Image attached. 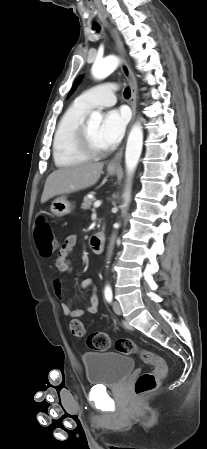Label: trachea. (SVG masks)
Listing matches in <instances>:
<instances>
[{"mask_svg":"<svg viewBox=\"0 0 207 449\" xmlns=\"http://www.w3.org/2000/svg\"><path fill=\"white\" fill-rule=\"evenodd\" d=\"M95 29H96V30H99V27H95ZM130 96H131V91H130V88L127 87V88L125 89V91H124V97H125V98H130Z\"/></svg>","mask_w":207,"mask_h":449,"instance_id":"obj_1","label":"trachea"}]
</instances>
